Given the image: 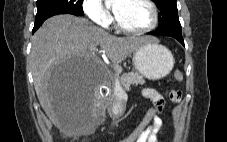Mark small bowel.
Masks as SVG:
<instances>
[{"label": "small bowel", "instance_id": "small-bowel-1", "mask_svg": "<svg viewBox=\"0 0 227 142\" xmlns=\"http://www.w3.org/2000/svg\"><path fill=\"white\" fill-rule=\"evenodd\" d=\"M142 94L157 107L159 114L163 111L165 101L163 96L156 89L146 88L143 90ZM181 97L182 93L180 91L173 90L169 93V98L173 102H179ZM159 114L138 142H158L157 135L163 124Z\"/></svg>", "mask_w": 227, "mask_h": 142}]
</instances>
